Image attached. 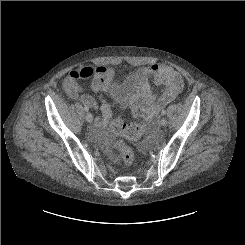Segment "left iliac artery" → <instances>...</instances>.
I'll use <instances>...</instances> for the list:
<instances>
[{"instance_id":"1","label":"left iliac artery","mask_w":245,"mask_h":245,"mask_svg":"<svg viewBox=\"0 0 245 245\" xmlns=\"http://www.w3.org/2000/svg\"><path fill=\"white\" fill-rule=\"evenodd\" d=\"M161 114L162 115H165L166 114V111L165 110H162Z\"/></svg>"}]
</instances>
